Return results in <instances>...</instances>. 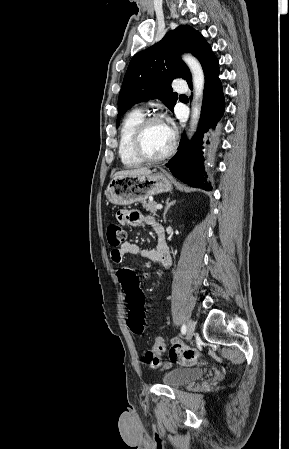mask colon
<instances>
[{
    "mask_svg": "<svg viewBox=\"0 0 289 449\" xmlns=\"http://www.w3.org/2000/svg\"><path fill=\"white\" fill-rule=\"evenodd\" d=\"M126 238L125 230L117 223H111L107 227V240L111 247H120ZM117 278L122 291L127 295L129 306V328L135 334H143L146 331L145 313L143 308V294L139 281L133 268H118ZM166 350L165 343L159 335H155V341L151 349L144 354L145 363L156 368L160 364V354ZM181 354V353H180Z\"/></svg>",
    "mask_w": 289,
    "mask_h": 449,
    "instance_id": "5ec220e1",
    "label": "colon"
}]
</instances>
